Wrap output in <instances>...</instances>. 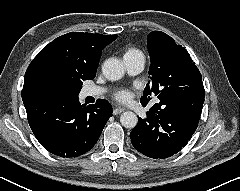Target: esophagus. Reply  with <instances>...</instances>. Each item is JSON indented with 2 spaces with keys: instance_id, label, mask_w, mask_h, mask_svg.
<instances>
[{
  "instance_id": "obj_1",
  "label": "esophagus",
  "mask_w": 240,
  "mask_h": 191,
  "mask_svg": "<svg viewBox=\"0 0 240 191\" xmlns=\"http://www.w3.org/2000/svg\"><path fill=\"white\" fill-rule=\"evenodd\" d=\"M123 111H124L123 108L117 107L113 110V113H114V115H118V114L122 113Z\"/></svg>"
}]
</instances>
